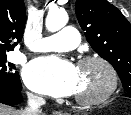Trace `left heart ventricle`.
Listing matches in <instances>:
<instances>
[{"instance_id":"obj_1","label":"left heart ventricle","mask_w":131,"mask_h":115,"mask_svg":"<svg viewBox=\"0 0 131 115\" xmlns=\"http://www.w3.org/2000/svg\"><path fill=\"white\" fill-rule=\"evenodd\" d=\"M78 85L75 96L91 97L102 92L108 84L106 70L97 63L78 67Z\"/></svg>"}]
</instances>
